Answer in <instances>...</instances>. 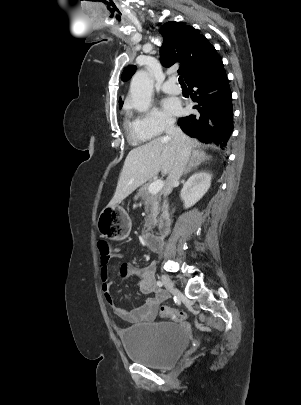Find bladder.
Returning a JSON list of instances; mask_svg holds the SVG:
<instances>
[{
    "mask_svg": "<svg viewBox=\"0 0 301 405\" xmlns=\"http://www.w3.org/2000/svg\"><path fill=\"white\" fill-rule=\"evenodd\" d=\"M127 357L151 368L171 367L189 344L182 324L151 322L127 327L120 332Z\"/></svg>",
    "mask_w": 301,
    "mask_h": 405,
    "instance_id": "31cf9c89",
    "label": "bladder"
}]
</instances>
